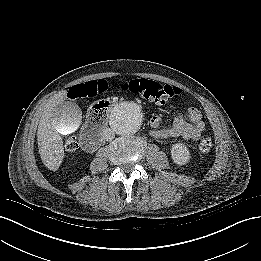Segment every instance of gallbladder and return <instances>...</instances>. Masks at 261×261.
<instances>
[{"instance_id": "gallbladder-1", "label": "gallbladder", "mask_w": 261, "mask_h": 261, "mask_svg": "<svg viewBox=\"0 0 261 261\" xmlns=\"http://www.w3.org/2000/svg\"><path fill=\"white\" fill-rule=\"evenodd\" d=\"M82 120L81 109L71 101L57 105L50 114V122L53 128L62 135L76 131L81 126Z\"/></svg>"}]
</instances>
